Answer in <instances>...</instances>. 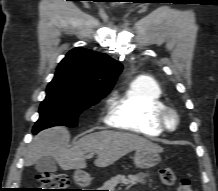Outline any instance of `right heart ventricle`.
Listing matches in <instances>:
<instances>
[{"mask_svg":"<svg viewBox=\"0 0 218 191\" xmlns=\"http://www.w3.org/2000/svg\"><path fill=\"white\" fill-rule=\"evenodd\" d=\"M164 106L160 85L151 78H139L114 98L107 122L121 130L156 137L164 131L157 121Z\"/></svg>","mask_w":218,"mask_h":191,"instance_id":"e07e8e85","label":"right heart ventricle"}]
</instances>
